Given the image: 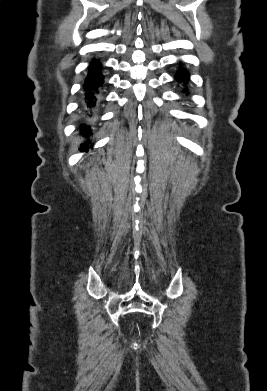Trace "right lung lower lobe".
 <instances>
[{"instance_id":"98d812e1","label":"right lung lower lobe","mask_w":267,"mask_h":391,"mask_svg":"<svg viewBox=\"0 0 267 391\" xmlns=\"http://www.w3.org/2000/svg\"><path fill=\"white\" fill-rule=\"evenodd\" d=\"M104 83V76L102 75L100 71V66L98 65V61H93L91 63V66L88 70L87 78L84 82V90L86 91V100H87V107L91 108L95 105V92L97 93V90L99 87H101ZM81 131L85 134H90V128L89 126L82 125ZM89 142L86 143V145H82V150L88 149Z\"/></svg>"}]
</instances>
